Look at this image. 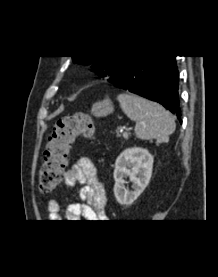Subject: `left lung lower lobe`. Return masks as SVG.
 <instances>
[{
	"label": "left lung lower lobe",
	"instance_id": "left-lung-lower-lobe-1",
	"mask_svg": "<svg viewBox=\"0 0 218 277\" xmlns=\"http://www.w3.org/2000/svg\"><path fill=\"white\" fill-rule=\"evenodd\" d=\"M179 74L175 56H135L108 81L149 100L156 101L181 120L178 98Z\"/></svg>",
	"mask_w": 218,
	"mask_h": 277
}]
</instances>
